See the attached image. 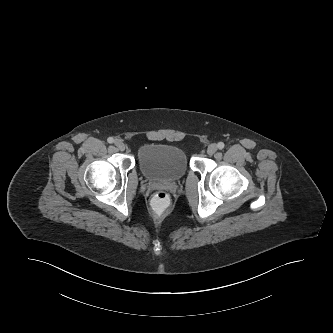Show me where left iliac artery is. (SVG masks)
<instances>
[{"label": "left iliac artery", "mask_w": 333, "mask_h": 333, "mask_svg": "<svg viewBox=\"0 0 333 333\" xmlns=\"http://www.w3.org/2000/svg\"><path fill=\"white\" fill-rule=\"evenodd\" d=\"M217 147H218L219 149H223V148L225 147V145H224L223 142H219V143L217 144Z\"/></svg>", "instance_id": "44dca946"}]
</instances>
